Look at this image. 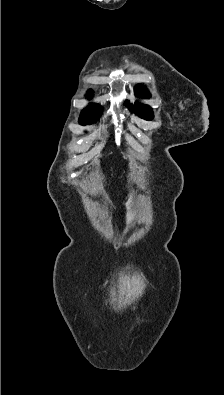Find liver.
<instances>
[{
	"label": "liver",
	"instance_id": "liver-1",
	"mask_svg": "<svg viewBox=\"0 0 224 395\" xmlns=\"http://www.w3.org/2000/svg\"><path fill=\"white\" fill-rule=\"evenodd\" d=\"M130 203H131V200L128 201V203H127V208L130 207Z\"/></svg>",
	"mask_w": 224,
	"mask_h": 395
}]
</instances>
